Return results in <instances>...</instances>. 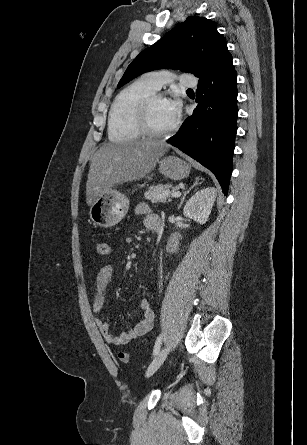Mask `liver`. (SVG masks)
<instances>
[{"label":"liver","instance_id":"1","mask_svg":"<svg viewBox=\"0 0 307 445\" xmlns=\"http://www.w3.org/2000/svg\"><path fill=\"white\" fill-rule=\"evenodd\" d=\"M171 144L164 140H129L105 142L96 150L86 182V202L91 206L98 196L113 190L118 182L139 180L153 170L158 158Z\"/></svg>","mask_w":307,"mask_h":445}]
</instances>
